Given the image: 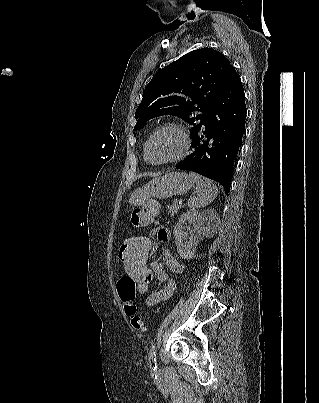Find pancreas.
Returning <instances> with one entry per match:
<instances>
[{"mask_svg":"<svg viewBox=\"0 0 319 403\" xmlns=\"http://www.w3.org/2000/svg\"><path fill=\"white\" fill-rule=\"evenodd\" d=\"M182 208V205L177 204L174 201V204L172 206H168V212L171 216H173L175 213H178V211Z\"/></svg>","mask_w":319,"mask_h":403,"instance_id":"pancreas-1","label":"pancreas"}]
</instances>
